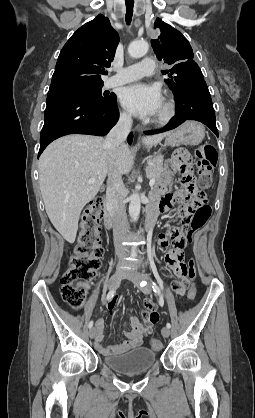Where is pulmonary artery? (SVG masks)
I'll list each match as a JSON object with an SVG mask.
<instances>
[{
    "instance_id": "obj_1",
    "label": "pulmonary artery",
    "mask_w": 255,
    "mask_h": 418,
    "mask_svg": "<svg viewBox=\"0 0 255 418\" xmlns=\"http://www.w3.org/2000/svg\"><path fill=\"white\" fill-rule=\"evenodd\" d=\"M155 62L152 58L146 57L141 62L117 70L106 82L107 87L126 84L138 80L144 76L154 73Z\"/></svg>"
}]
</instances>
